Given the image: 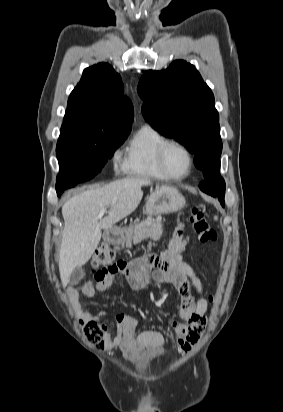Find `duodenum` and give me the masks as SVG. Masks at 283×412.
Returning a JSON list of instances; mask_svg holds the SVG:
<instances>
[{
  "instance_id": "duodenum-1",
  "label": "duodenum",
  "mask_w": 283,
  "mask_h": 412,
  "mask_svg": "<svg viewBox=\"0 0 283 412\" xmlns=\"http://www.w3.org/2000/svg\"><path fill=\"white\" fill-rule=\"evenodd\" d=\"M117 238H118V233H112L110 235V239H111L112 242L115 241Z\"/></svg>"
}]
</instances>
